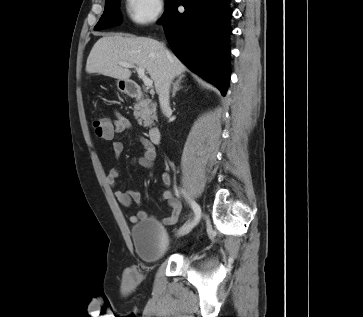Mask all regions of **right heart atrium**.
I'll list each match as a JSON object with an SVG mask.
<instances>
[{
  "label": "right heart atrium",
  "instance_id": "obj_1",
  "mask_svg": "<svg viewBox=\"0 0 363 317\" xmlns=\"http://www.w3.org/2000/svg\"><path fill=\"white\" fill-rule=\"evenodd\" d=\"M125 11L137 25H148L159 20L164 11L163 0H125Z\"/></svg>",
  "mask_w": 363,
  "mask_h": 317
}]
</instances>
